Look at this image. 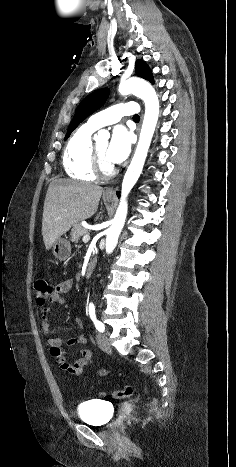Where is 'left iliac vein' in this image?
<instances>
[{
	"label": "left iliac vein",
	"instance_id": "obj_1",
	"mask_svg": "<svg viewBox=\"0 0 236 467\" xmlns=\"http://www.w3.org/2000/svg\"><path fill=\"white\" fill-rule=\"evenodd\" d=\"M97 343L104 352H110L112 350L110 340L105 333L97 334Z\"/></svg>",
	"mask_w": 236,
	"mask_h": 467
}]
</instances>
